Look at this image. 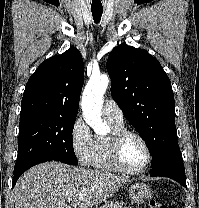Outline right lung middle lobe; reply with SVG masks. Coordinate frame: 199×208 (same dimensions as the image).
<instances>
[{
  "mask_svg": "<svg viewBox=\"0 0 199 208\" xmlns=\"http://www.w3.org/2000/svg\"><path fill=\"white\" fill-rule=\"evenodd\" d=\"M76 116L44 112L20 114L18 156L14 172L41 161L77 165L72 140Z\"/></svg>",
  "mask_w": 199,
  "mask_h": 208,
  "instance_id": "obj_1",
  "label": "right lung middle lobe"
}]
</instances>
